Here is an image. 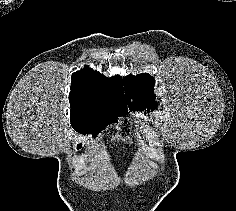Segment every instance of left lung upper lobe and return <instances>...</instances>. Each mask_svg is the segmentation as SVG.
<instances>
[{"mask_svg":"<svg viewBox=\"0 0 236 211\" xmlns=\"http://www.w3.org/2000/svg\"><path fill=\"white\" fill-rule=\"evenodd\" d=\"M155 80L149 74L128 75L125 77L128 104L132 111L153 110L157 107L153 87ZM133 102H130V99Z\"/></svg>","mask_w":236,"mask_h":211,"instance_id":"1","label":"left lung upper lobe"}]
</instances>
